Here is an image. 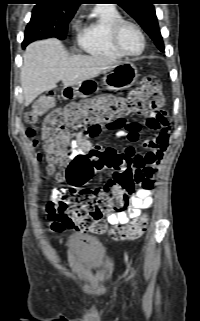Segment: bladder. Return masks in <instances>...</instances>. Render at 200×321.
I'll return each mask as SVG.
<instances>
[{
	"mask_svg": "<svg viewBox=\"0 0 200 321\" xmlns=\"http://www.w3.org/2000/svg\"><path fill=\"white\" fill-rule=\"evenodd\" d=\"M67 248L76 262L92 269L101 266L108 254V249L102 241L79 232L68 236Z\"/></svg>",
	"mask_w": 200,
	"mask_h": 321,
	"instance_id": "31cf9c89",
	"label": "bladder"
}]
</instances>
